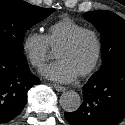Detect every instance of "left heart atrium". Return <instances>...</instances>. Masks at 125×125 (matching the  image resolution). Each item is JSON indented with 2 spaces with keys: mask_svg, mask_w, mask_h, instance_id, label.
Masks as SVG:
<instances>
[{
  "mask_svg": "<svg viewBox=\"0 0 125 125\" xmlns=\"http://www.w3.org/2000/svg\"><path fill=\"white\" fill-rule=\"evenodd\" d=\"M42 74L48 79L61 83L71 82L77 77L75 71L63 60L50 64Z\"/></svg>",
  "mask_w": 125,
  "mask_h": 125,
  "instance_id": "39dd6f15",
  "label": "left heart atrium"
}]
</instances>
